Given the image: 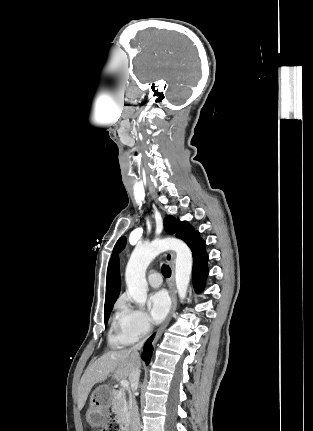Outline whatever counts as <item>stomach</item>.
Segmentation results:
<instances>
[{"instance_id":"1","label":"stomach","mask_w":313,"mask_h":431,"mask_svg":"<svg viewBox=\"0 0 313 431\" xmlns=\"http://www.w3.org/2000/svg\"><path fill=\"white\" fill-rule=\"evenodd\" d=\"M112 399L113 392L108 386L102 385L93 391L90 398V408L86 415L92 426H102L107 422Z\"/></svg>"}]
</instances>
